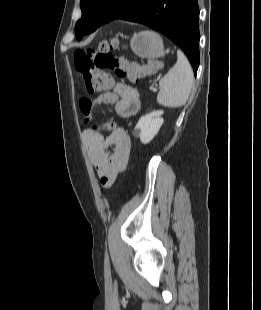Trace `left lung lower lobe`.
<instances>
[{
	"label": "left lung lower lobe",
	"instance_id": "obj_1",
	"mask_svg": "<svg viewBox=\"0 0 261 310\" xmlns=\"http://www.w3.org/2000/svg\"><path fill=\"white\" fill-rule=\"evenodd\" d=\"M116 19L141 23L165 34L185 52L196 75L200 38L198 0H131L127 10ZM101 25H89L85 34ZM81 38L82 35L77 36L78 40Z\"/></svg>",
	"mask_w": 261,
	"mask_h": 310
}]
</instances>
